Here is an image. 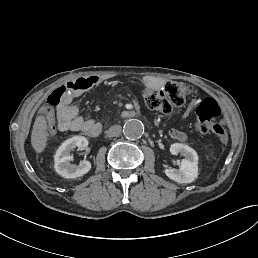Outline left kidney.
Segmentation results:
<instances>
[{"mask_svg":"<svg viewBox=\"0 0 258 258\" xmlns=\"http://www.w3.org/2000/svg\"><path fill=\"white\" fill-rule=\"evenodd\" d=\"M170 153L184 156L179 169H165V174L171 180L178 183H191L198 177V155L197 152L182 143H174L170 146Z\"/></svg>","mask_w":258,"mask_h":258,"instance_id":"left-kidney-1","label":"left kidney"}]
</instances>
